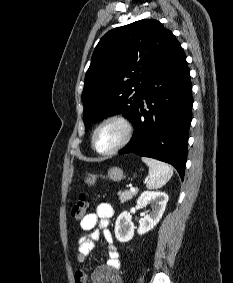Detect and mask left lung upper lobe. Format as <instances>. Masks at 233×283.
Wrapping results in <instances>:
<instances>
[{
    "label": "left lung upper lobe",
    "mask_w": 233,
    "mask_h": 283,
    "mask_svg": "<svg viewBox=\"0 0 233 283\" xmlns=\"http://www.w3.org/2000/svg\"><path fill=\"white\" fill-rule=\"evenodd\" d=\"M176 43L172 32L154 19L107 32L97 44L86 72L82 92L85 129L119 113L131 121L147 80Z\"/></svg>",
    "instance_id": "obj_1"
}]
</instances>
